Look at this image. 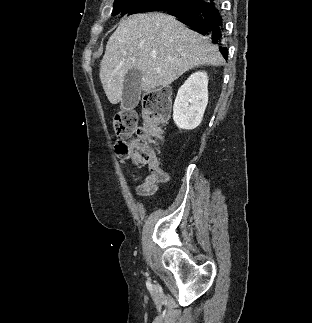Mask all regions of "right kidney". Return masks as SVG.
<instances>
[{
    "instance_id": "1",
    "label": "right kidney",
    "mask_w": 312,
    "mask_h": 323,
    "mask_svg": "<svg viewBox=\"0 0 312 323\" xmlns=\"http://www.w3.org/2000/svg\"><path fill=\"white\" fill-rule=\"evenodd\" d=\"M208 76L194 72L178 90L173 106V120L181 130H195L208 104Z\"/></svg>"
}]
</instances>
